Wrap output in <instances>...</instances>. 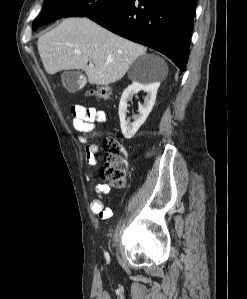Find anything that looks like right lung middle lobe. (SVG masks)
I'll return each mask as SVG.
<instances>
[{
  "mask_svg": "<svg viewBox=\"0 0 247 299\" xmlns=\"http://www.w3.org/2000/svg\"><path fill=\"white\" fill-rule=\"evenodd\" d=\"M125 0H46L42 11L32 24L39 26L63 17H87L109 10Z\"/></svg>",
  "mask_w": 247,
  "mask_h": 299,
  "instance_id": "right-lung-middle-lobe-1",
  "label": "right lung middle lobe"
}]
</instances>
